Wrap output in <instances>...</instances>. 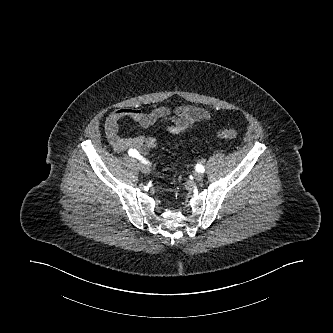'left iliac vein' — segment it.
Instances as JSON below:
<instances>
[{
  "mask_svg": "<svg viewBox=\"0 0 333 333\" xmlns=\"http://www.w3.org/2000/svg\"><path fill=\"white\" fill-rule=\"evenodd\" d=\"M194 178H195L196 181L200 182V181L203 180L204 175H203L202 173L195 172V173H194Z\"/></svg>",
  "mask_w": 333,
  "mask_h": 333,
  "instance_id": "left-iliac-vein-1",
  "label": "left iliac vein"
}]
</instances>
